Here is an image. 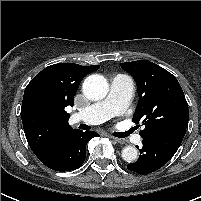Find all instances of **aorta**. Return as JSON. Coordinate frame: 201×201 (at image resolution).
Instances as JSON below:
<instances>
[{
  "label": "aorta",
  "instance_id": "obj_1",
  "mask_svg": "<svg viewBox=\"0 0 201 201\" xmlns=\"http://www.w3.org/2000/svg\"><path fill=\"white\" fill-rule=\"evenodd\" d=\"M109 91L107 80L98 74L88 76L83 83V93L90 100H101L106 97ZM138 151L133 146H126L122 150V159L128 163L136 161Z\"/></svg>",
  "mask_w": 201,
  "mask_h": 201
}]
</instances>
